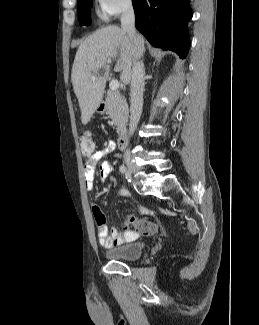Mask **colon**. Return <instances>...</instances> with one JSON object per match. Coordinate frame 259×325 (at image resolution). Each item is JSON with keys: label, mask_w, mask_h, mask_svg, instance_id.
Listing matches in <instances>:
<instances>
[{"label": "colon", "mask_w": 259, "mask_h": 325, "mask_svg": "<svg viewBox=\"0 0 259 325\" xmlns=\"http://www.w3.org/2000/svg\"><path fill=\"white\" fill-rule=\"evenodd\" d=\"M79 146L83 157L87 158L93 154L94 141L89 132H84L79 137ZM128 223L132 225L138 233L145 236H152L162 231L159 222L155 219H137L135 217H129Z\"/></svg>", "instance_id": "colon-1"}]
</instances>
